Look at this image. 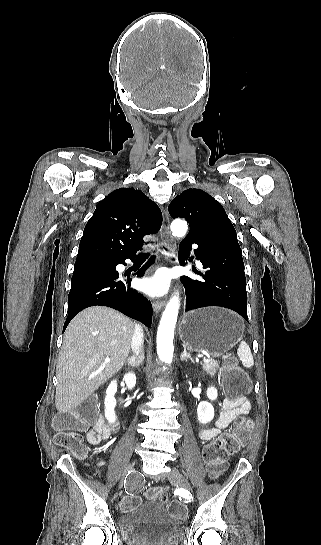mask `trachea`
I'll return each mask as SVG.
<instances>
[{
	"mask_svg": "<svg viewBox=\"0 0 321 545\" xmlns=\"http://www.w3.org/2000/svg\"><path fill=\"white\" fill-rule=\"evenodd\" d=\"M152 245L153 243L150 242ZM161 249H163L164 247H160ZM166 250V249H165ZM150 256V252H140L139 255H138V259H146Z\"/></svg>",
	"mask_w": 321,
	"mask_h": 545,
	"instance_id": "1",
	"label": "trachea"
}]
</instances>
